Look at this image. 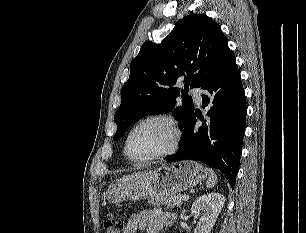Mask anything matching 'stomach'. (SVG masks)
<instances>
[{"label":"stomach","mask_w":306,"mask_h":233,"mask_svg":"<svg viewBox=\"0 0 306 233\" xmlns=\"http://www.w3.org/2000/svg\"><path fill=\"white\" fill-rule=\"evenodd\" d=\"M206 176L207 169L203 165L184 160L111 184L105 198L108 202L116 204L171 196L196 186Z\"/></svg>","instance_id":"stomach-1"}]
</instances>
